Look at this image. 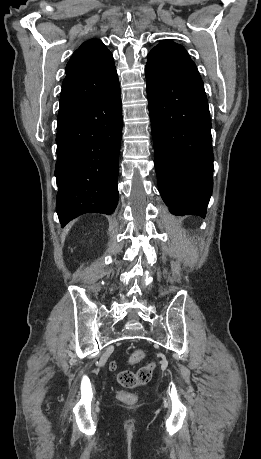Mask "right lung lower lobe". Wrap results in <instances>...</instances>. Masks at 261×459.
Returning <instances> with one entry per match:
<instances>
[{
	"label": "right lung lower lobe",
	"mask_w": 261,
	"mask_h": 459,
	"mask_svg": "<svg viewBox=\"0 0 261 459\" xmlns=\"http://www.w3.org/2000/svg\"><path fill=\"white\" fill-rule=\"evenodd\" d=\"M122 134L120 85L57 122L56 211L62 227L88 212L110 215L118 203Z\"/></svg>",
	"instance_id": "obj_1"
}]
</instances>
